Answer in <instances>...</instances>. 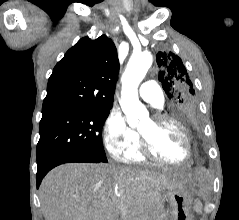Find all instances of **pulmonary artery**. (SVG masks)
Returning <instances> with one entry per match:
<instances>
[{"mask_svg":"<svg viewBox=\"0 0 239 220\" xmlns=\"http://www.w3.org/2000/svg\"><path fill=\"white\" fill-rule=\"evenodd\" d=\"M141 99L155 108H161L164 104V93L154 80L144 82L139 88Z\"/></svg>","mask_w":239,"mask_h":220,"instance_id":"obj_1","label":"pulmonary artery"}]
</instances>
